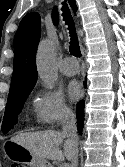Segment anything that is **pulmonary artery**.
Listing matches in <instances>:
<instances>
[{
	"instance_id": "obj_1",
	"label": "pulmonary artery",
	"mask_w": 125,
	"mask_h": 167,
	"mask_svg": "<svg viewBox=\"0 0 125 167\" xmlns=\"http://www.w3.org/2000/svg\"><path fill=\"white\" fill-rule=\"evenodd\" d=\"M60 71L67 76H74L79 72V64L72 57H65L60 63Z\"/></svg>"
}]
</instances>
